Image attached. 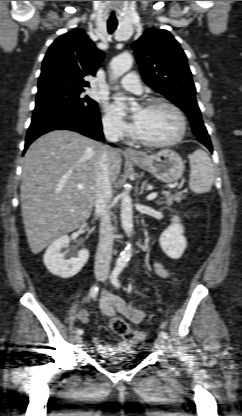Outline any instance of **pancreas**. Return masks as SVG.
<instances>
[{"instance_id":"obj_1","label":"pancreas","mask_w":242,"mask_h":416,"mask_svg":"<svg viewBox=\"0 0 242 416\" xmlns=\"http://www.w3.org/2000/svg\"><path fill=\"white\" fill-rule=\"evenodd\" d=\"M163 194L165 196V201H158L159 205L166 204L167 206H170L173 204L174 201L180 203L184 199V196L182 194L172 195L170 192L167 191H164Z\"/></svg>"}]
</instances>
